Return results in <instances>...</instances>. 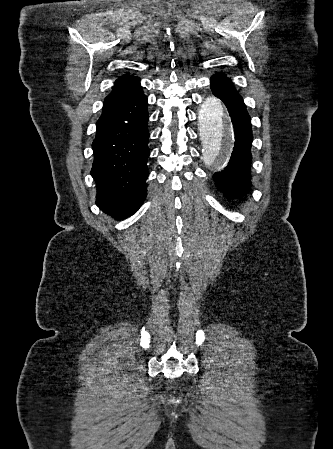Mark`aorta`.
<instances>
[{
  "label": "aorta",
  "instance_id": "762f6f07",
  "mask_svg": "<svg viewBox=\"0 0 333 449\" xmlns=\"http://www.w3.org/2000/svg\"><path fill=\"white\" fill-rule=\"evenodd\" d=\"M201 138L204 145V159L212 166L220 165L233 147V130L223 103L209 98L200 115Z\"/></svg>",
  "mask_w": 333,
  "mask_h": 449
}]
</instances>
